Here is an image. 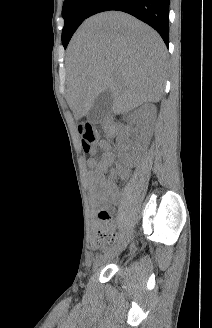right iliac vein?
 <instances>
[{"instance_id": "right-iliac-vein-1", "label": "right iliac vein", "mask_w": 212, "mask_h": 328, "mask_svg": "<svg viewBox=\"0 0 212 328\" xmlns=\"http://www.w3.org/2000/svg\"><path fill=\"white\" fill-rule=\"evenodd\" d=\"M129 241V234L122 237L116 246H114L111 250L107 251L103 256H100L94 263L93 270L98 269L103 263L109 259L114 258L118 254H120L126 247Z\"/></svg>"}]
</instances>
